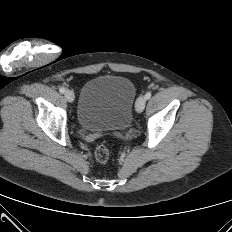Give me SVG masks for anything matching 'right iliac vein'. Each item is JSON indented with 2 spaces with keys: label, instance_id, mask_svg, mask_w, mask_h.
Returning <instances> with one entry per match:
<instances>
[{
  "label": "right iliac vein",
  "instance_id": "63e3f726",
  "mask_svg": "<svg viewBox=\"0 0 232 232\" xmlns=\"http://www.w3.org/2000/svg\"><path fill=\"white\" fill-rule=\"evenodd\" d=\"M64 97L68 102H73L74 98H75L74 93L72 91H70V90H67L64 93Z\"/></svg>",
  "mask_w": 232,
  "mask_h": 232
}]
</instances>
